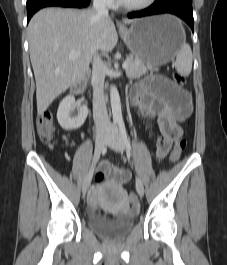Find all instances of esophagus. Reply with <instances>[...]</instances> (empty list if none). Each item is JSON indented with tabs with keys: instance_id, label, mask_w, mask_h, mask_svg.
<instances>
[{
	"instance_id": "1",
	"label": "esophagus",
	"mask_w": 227,
	"mask_h": 265,
	"mask_svg": "<svg viewBox=\"0 0 227 265\" xmlns=\"http://www.w3.org/2000/svg\"><path fill=\"white\" fill-rule=\"evenodd\" d=\"M118 26H119V28H122L123 27L122 24H118Z\"/></svg>"
}]
</instances>
